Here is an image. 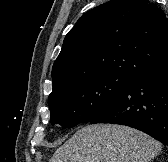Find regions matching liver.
Instances as JSON below:
<instances>
[{
  "label": "liver",
  "instance_id": "1",
  "mask_svg": "<svg viewBox=\"0 0 168 162\" xmlns=\"http://www.w3.org/2000/svg\"><path fill=\"white\" fill-rule=\"evenodd\" d=\"M162 144L123 125L95 124L78 130L49 162H150Z\"/></svg>",
  "mask_w": 168,
  "mask_h": 162
}]
</instances>
